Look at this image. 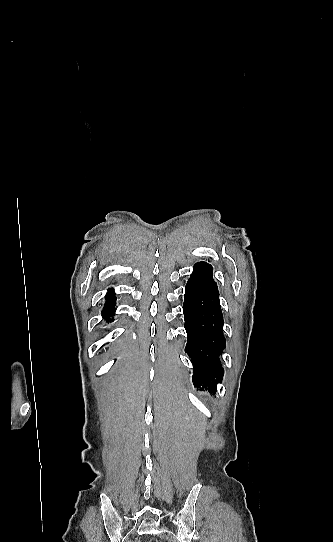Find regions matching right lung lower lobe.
Returning <instances> with one entry per match:
<instances>
[{
    "instance_id": "obj_1",
    "label": "right lung lower lobe",
    "mask_w": 333,
    "mask_h": 542,
    "mask_svg": "<svg viewBox=\"0 0 333 542\" xmlns=\"http://www.w3.org/2000/svg\"><path fill=\"white\" fill-rule=\"evenodd\" d=\"M107 299L105 306L102 310V316L107 320L108 322L113 321V318L110 319V317H113L115 314V301L116 297L112 290H109V293H107L106 297Z\"/></svg>"
}]
</instances>
